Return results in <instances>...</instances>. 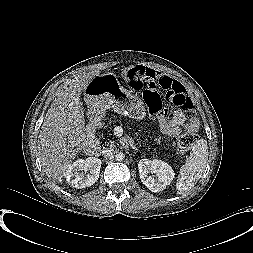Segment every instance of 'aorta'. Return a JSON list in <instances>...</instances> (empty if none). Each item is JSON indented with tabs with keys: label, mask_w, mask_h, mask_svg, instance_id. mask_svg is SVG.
I'll use <instances>...</instances> for the list:
<instances>
[{
	"label": "aorta",
	"mask_w": 253,
	"mask_h": 253,
	"mask_svg": "<svg viewBox=\"0 0 253 253\" xmlns=\"http://www.w3.org/2000/svg\"><path fill=\"white\" fill-rule=\"evenodd\" d=\"M125 155L121 152H119L118 154L115 155V159L117 161H122L124 159Z\"/></svg>",
	"instance_id": "aorta-1"
}]
</instances>
